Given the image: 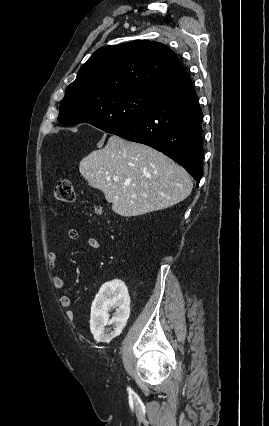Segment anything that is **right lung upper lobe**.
Masks as SVG:
<instances>
[{
  "label": "right lung upper lobe",
  "instance_id": "right-lung-upper-lobe-1",
  "mask_svg": "<svg viewBox=\"0 0 269 426\" xmlns=\"http://www.w3.org/2000/svg\"><path fill=\"white\" fill-rule=\"evenodd\" d=\"M188 76L176 54L162 43L136 40L98 49L80 68L66 94L84 98L139 89L156 92Z\"/></svg>",
  "mask_w": 269,
  "mask_h": 426
}]
</instances>
